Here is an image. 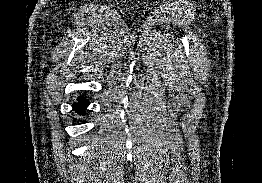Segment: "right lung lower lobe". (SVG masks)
<instances>
[{
  "label": "right lung lower lobe",
  "instance_id": "1",
  "mask_svg": "<svg viewBox=\"0 0 262 183\" xmlns=\"http://www.w3.org/2000/svg\"><path fill=\"white\" fill-rule=\"evenodd\" d=\"M78 102L73 104V107L77 113H83L89 102L84 97H78Z\"/></svg>",
  "mask_w": 262,
  "mask_h": 183
}]
</instances>
